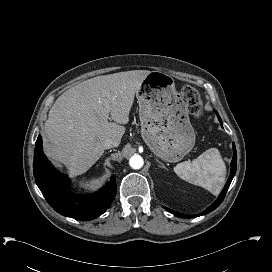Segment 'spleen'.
Wrapping results in <instances>:
<instances>
[{
  "label": "spleen",
  "mask_w": 272,
  "mask_h": 272,
  "mask_svg": "<svg viewBox=\"0 0 272 272\" xmlns=\"http://www.w3.org/2000/svg\"><path fill=\"white\" fill-rule=\"evenodd\" d=\"M174 172L186 182L218 195L225 182L226 166L218 149L210 148L192 162L177 164Z\"/></svg>",
  "instance_id": "3e777b00"
}]
</instances>
